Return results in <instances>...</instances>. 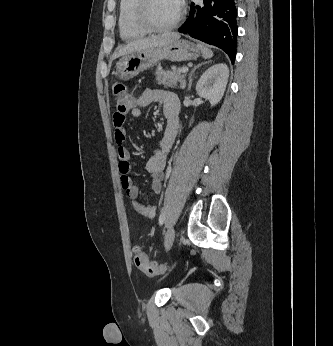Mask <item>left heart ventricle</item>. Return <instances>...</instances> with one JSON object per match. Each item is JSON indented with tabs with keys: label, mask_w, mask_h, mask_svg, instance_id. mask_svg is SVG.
Here are the masks:
<instances>
[{
	"label": "left heart ventricle",
	"mask_w": 333,
	"mask_h": 346,
	"mask_svg": "<svg viewBox=\"0 0 333 346\" xmlns=\"http://www.w3.org/2000/svg\"><path fill=\"white\" fill-rule=\"evenodd\" d=\"M178 11L175 0H151L150 17L157 25H165L172 21Z\"/></svg>",
	"instance_id": "b2bd125f"
}]
</instances>
